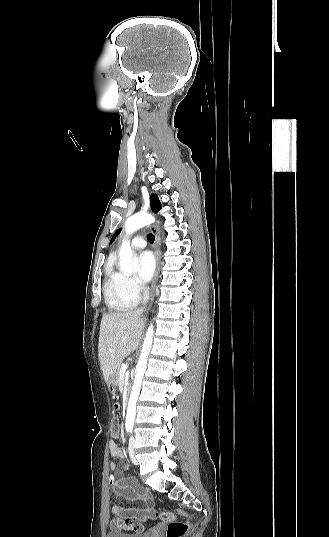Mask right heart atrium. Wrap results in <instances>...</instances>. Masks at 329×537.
Instances as JSON below:
<instances>
[{
    "label": "right heart atrium",
    "mask_w": 329,
    "mask_h": 537,
    "mask_svg": "<svg viewBox=\"0 0 329 537\" xmlns=\"http://www.w3.org/2000/svg\"><path fill=\"white\" fill-rule=\"evenodd\" d=\"M123 288L126 294L134 301H138L143 293V287L136 278L131 276L123 277Z\"/></svg>",
    "instance_id": "1"
}]
</instances>
